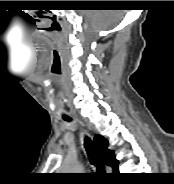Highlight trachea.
I'll return each instance as SVG.
<instances>
[{
    "label": "trachea",
    "instance_id": "trachea-1",
    "mask_svg": "<svg viewBox=\"0 0 174 184\" xmlns=\"http://www.w3.org/2000/svg\"><path fill=\"white\" fill-rule=\"evenodd\" d=\"M64 120L71 121V118H64ZM84 146L86 148V151H87V154H88V157H89L91 164L97 167L98 172H103L104 166L101 163V161H100V159H99V157L94 149V146L92 145L90 138L85 137Z\"/></svg>",
    "mask_w": 174,
    "mask_h": 184
}]
</instances>
